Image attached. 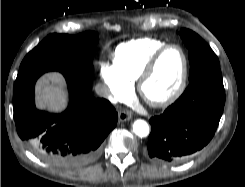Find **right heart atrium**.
<instances>
[{
    "instance_id": "d8ad5b80",
    "label": "right heart atrium",
    "mask_w": 245,
    "mask_h": 187,
    "mask_svg": "<svg viewBox=\"0 0 245 187\" xmlns=\"http://www.w3.org/2000/svg\"><path fill=\"white\" fill-rule=\"evenodd\" d=\"M99 71L106 88L107 97L111 101H123L131 95L132 84L121 76L114 63L100 60Z\"/></svg>"
}]
</instances>
